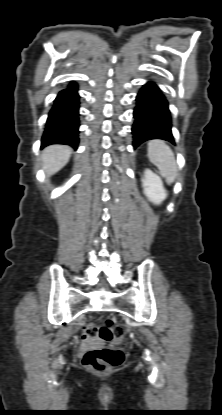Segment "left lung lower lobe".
Wrapping results in <instances>:
<instances>
[{
  "instance_id": "1",
  "label": "left lung lower lobe",
  "mask_w": 222,
  "mask_h": 415,
  "mask_svg": "<svg viewBox=\"0 0 222 415\" xmlns=\"http://www.w3.org/2000/svg\"><path fill=\"white\" fill-rule=\"evenodd\" d=\"M136 101L135 122L132 127L134 148L151 139L174 143L168 101L159 85L148 81L140 89Z\"/></svg>"
}]
</instances>
